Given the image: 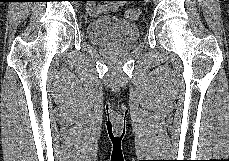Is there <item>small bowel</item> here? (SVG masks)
Instances as JSON below:
<instances>
[{"instance_id": "c3829d8e", "label": "small bowel", "mask_w": 229, "mask_h": 161, "mask_svg": "<svg viewBox=\"0 0 229 161\" xmlns=\"http://www.w3.org/2000/svg\"><path fill=\"white\" fill-rule=\"evenodd\" d=\"M117 9V5L116 4H112V5H108V6H104L102 8L97 9L96 11L99 13H105L107 11H115Z\"/></svg>"}]
</instances>
